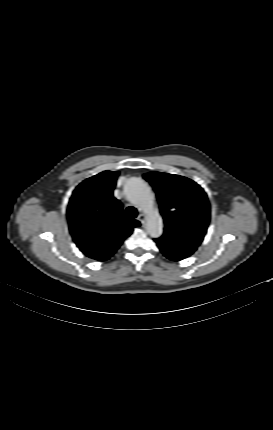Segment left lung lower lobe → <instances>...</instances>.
<instances>
[{
  "instance_id": "left-lung-lower-lobe-1",
  "label": "left lung lower lobe",
  "mask_w": 273,
  "mask_h": 430,
  "mask_svg": "<svg viewBox=\"0 0 273 430\" xmlns=\"http://www.w3.org/2000/svg\"><path fill=\"white\" fill-rule=\"evenodd\" d=\"M171 260H173V261H179V258L172 257Z\"/></svg>"
}]
</instances>
